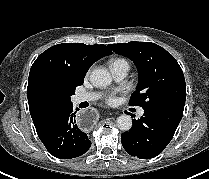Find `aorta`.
<instances>
[{"label": "aorta", "instance_id": "obj_1", "mask_svg": "<svg viewBox=\"0 0 209 179\" xmlns=\"http://www.w3.org/2000/svg\"><path fill=\"white\" fill-rule=\"evenodd\" d=\"M91 82L97 87H105L112 82L109 71L105 68H97L91 72ZM117 126L122 131H128L132 127L131 116L123 114L117 118Z\"/></svg>", "mask_w": 209, "mask_h": 179}]
</instances>
